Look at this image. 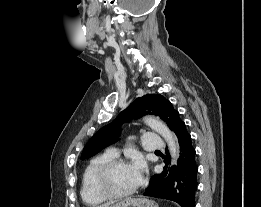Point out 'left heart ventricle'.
Listing matches in <instances>:
<instances>
[{
	"mask_svg": "<svg viewBox=\"0 0 261 207\" xmlns=\"http://www.w3.org/2000/svg\"><path fill=\"white\" fill-rule=\"evenodd\" d=\"M110 185L117 192H125L136 186V180L130 165L115 168L110 177Z\"/></svg>",
	"mask_w": 261,
	"mask_h": 207,
	"instance_id": "b2bd125f",
	"label": "left heart ventricle"
}]
</instances>
